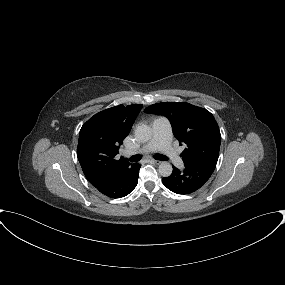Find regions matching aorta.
Masks as SVG:
<instances>
[{"label": "aorta", "mask_w": 285, "mask_h": 285, "mask_svg": "<svg viewBox=\"0 0 285 285\" xmlns=\"http://www.w3.org/2000/svg\"><path fill=\"white\" fill-rule=\"evenodd\" d=\"M153 134L152 128L146 124H139L135 129V135L141 141H148ZM173 168L169 162H161L158 167V172L163 177H169L172 174Z\"/></svg>", "instance_id": "aorta-1"}]
</instances>
